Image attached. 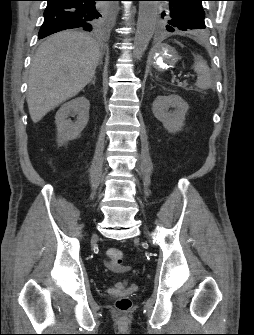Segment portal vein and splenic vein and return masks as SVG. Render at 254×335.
I'll use <instances>...</instances> for the list:
<instances>
[{
    "label": "portal vein and splenic vein",
    "mask_w": 254,
    "mask_h": 335,
    "mask_svg": "<svg viewBox=\"0 0 254 335\" xmlns=\"http://www.w3.org/2000/svg\"><path fill=\"white\" fill-rule=\"evenodd\" d=\"M184 77H185V78H189V77H193V75H189V74H187V75H184Z\"/></svg>",
    "instance_id": "18ae733b"
}]
</instances>
